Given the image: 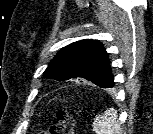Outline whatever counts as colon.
Wrapping results in <instances>:
<instances>
[{
  "label": "colon",
  "instance_id": "colon-1",
  "mask_svg": "<svg viewBox=\"0 0 153 134\" xmlns=\"http://www.w3.org/2000/svg\"><path fill=\"white\" fill-rule=\"evenodd\" d=\"M41 134H73V122L66 110H57L49 129Z\"/></svg>",
  "mask_w": 153,
  "mask_h": 134
}]
</instances>
